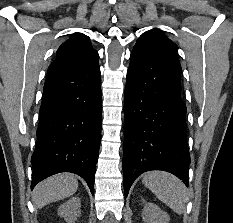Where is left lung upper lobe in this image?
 I'll use <instances>...</instances> for the list:
<instances>
[{"mask_svg": "<svg viewBox=\"0 0 233 223\" xmlns=\"http://www.w3.org/2000/svg\"><path fill=\"white\" fill-rule=\"evenodd\" d=\"M137 42H145L161 55L180 65L177 57L178 46L159 30H150L143 33Z\"/></svg>", "mask_w": 233, "mask_h": 223, "instance_id": "obj_1", "label": "left lung upper lobe"}]
</instances>
